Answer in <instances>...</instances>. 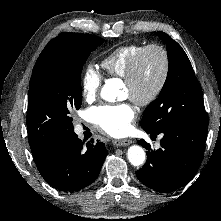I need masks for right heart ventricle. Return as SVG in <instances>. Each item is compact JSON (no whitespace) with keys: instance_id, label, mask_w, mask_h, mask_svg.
<instances>
[{"instance_id":"1","label":"right heart ventricle","mask_w":221,"mask_h":221,"mask_svg":"<svg viewBox=\"0 0 221 221\" xmlns=\"http://www.w3.org/2000/svg\"><path fill=\"white\" fill-rule=\"evenodd\" d=\"M143 44H128L116 47L101 60V66L109 76L123 78Z\"/></svg>"}]
</instances>
